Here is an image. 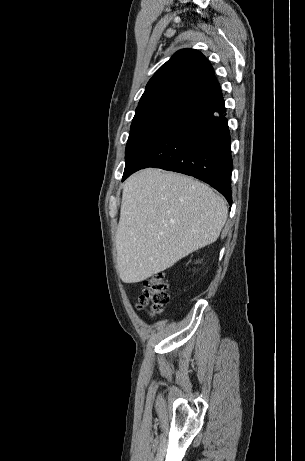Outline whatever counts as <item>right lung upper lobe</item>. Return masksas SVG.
Masks as SVG:
<instances>
[{"instance_id": "right-lung-upper-lobe-1", "label": "right lung upper lobe", "mask_w": 305, "mask_h": 461, "mask_svg": "<svg viewBox=\"0 0 305 461\" xmlns=\"http://www.w3.org/2000/svg\"><path fill=\"white\" fill-rule=\"evenodd\" d=\"M218 90L214 69L205 56L182 49L155 72L136 110L163 104L191 107Z\"/></svg>"}]
</instances>
